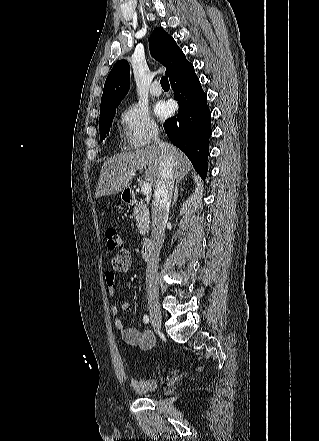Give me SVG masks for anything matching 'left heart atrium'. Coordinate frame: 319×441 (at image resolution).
Here are the masks:
<instances>
[{"label": "left heart atrium", "instance_id": "obj_1", "mask_svg": "<svg viewBox=\"0 0 319 441\" xmlns=\"http://www.w3.org/2000/svg\"><path fill=\"white\" fill-rule=\"evenodd\" d=\"M172 112V105L166 102H159L156 107V114L161 118L167 117Z\"/></svg>", "mask_w": 319, "mask_h": 441}]
</instances>
